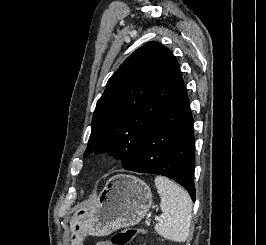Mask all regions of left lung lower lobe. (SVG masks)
I'll list each match as a JSON object with an SVG mask.
<instances>
[{
	"label": "left lung lower lobe",
	"instance_id": "1",
	"mask_svg": "<svg viewBox=\"0 0 266 245\" xmlns=\"http://www.w3.org/2000/svg\"><path fill=\"white\" fill-rule=\"evenodd\" d=\"M194 157L193 117L183 83L143 135L135 159L125 170L171 178L195 201Z\"/></svg>",
	"mask_w": 266,
	"mask_h": 245
}]
</instances>
